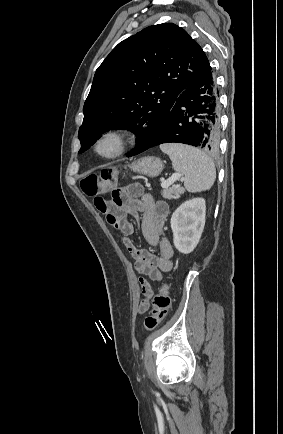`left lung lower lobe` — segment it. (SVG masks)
Listing matches in <instances>:
<instances>
[{"mask_svg":"<svg viewBox=\"0 0 283 434\" xmlns=\"http://www.w3.org/2000/svg\"><path fill=\"white\" fill-rule=\"evenodd\" d=\"M219 110V92L210 69L179 95L153 142L128 156L171 142L216 151L219 145Z\"/></svg>","mask_w":283,"mask_h":434,"instance_id":"obj_1","label":"left lung lower lobe"}]
</instances>
